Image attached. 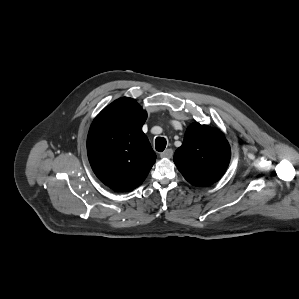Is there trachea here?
I'll list each match as a JSON object with an SVG mask.
<instances>
[{"instance_id": "3493384b", "label": "trachea", "mask_w": 299, "mask_h": 299, "mask_svg": "<svg viewBox=\"0 0 299 299\" xmlns=\"http://www.w3.org/2000/svg\"><path fill=\"white\" fill-rule=\"evenodd\" d=\"M167 141L164 137H157L155 140V148L158 152L164 151Z\"/></svg>"}]
</instances>
